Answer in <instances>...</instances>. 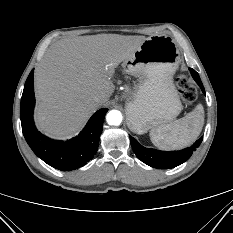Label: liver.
Wrapping results in <instances>:
<instances>
[{
    "instance_id": "liver-1",
    "label": "liver",
    "mask_w": 233,
    "mask_h": 233,
    "mask_svg": "<svg viewBox=\"0 0 233 233\" xmlns=\"http://www.w3.org/2000/svg\"><path fill=\"white\" fill-rule=\"evenodd\" d=\"M146 39L98 34L53 43L34 72L38 129L59 139L76 134L113 94L115 86L109 76ZM97 95L103 98L96 100Z\"/></svg>"
}]
</instances>
